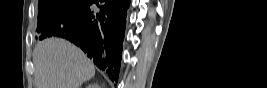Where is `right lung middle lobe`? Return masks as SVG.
I'll return each instance as SVG.
<instances>
[{
  "mask_svg": "<svg viewBox=\"0 0 267 88\" xmlns=\"http://www.w3.org/2000/svg\"><path fill=\"white\" fill-rule=\"evenodd\" d=\"M91 0H39L38 27L39 39L49 37L50 30L60 22L72 18L88 6Z\"/></svg>",
  "mask_w": 267,
  "mask_h": 88,
  "instance_id": "dd1d6c3e",
  "label": "right lung middle lobe"
}]
</instances>
